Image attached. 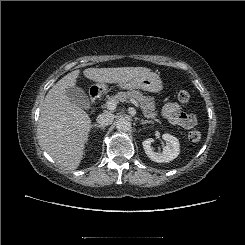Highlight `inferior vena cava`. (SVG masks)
Listing matches in <instances>:
<instances>
[{
	"instance_id": "602c4592",
	"label": "inferior vena cava",
	"mask_w": 245,
	"mask_h": 245,
	"mask_svg": "<svg viewBox=\"0 0 245 245\" xmlns=\"http://www.w3.org/2000/svg\"><path fill=\"white\" fill-rule=\"evenodd\" d=\"M114 115L110 112H104L97 117V122L102 126H108L112 124Z\"/></svg>"
}]
</instances>
